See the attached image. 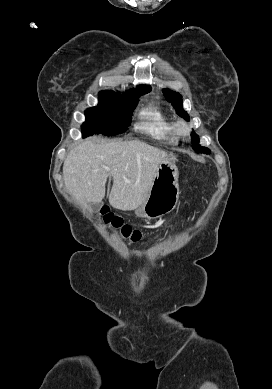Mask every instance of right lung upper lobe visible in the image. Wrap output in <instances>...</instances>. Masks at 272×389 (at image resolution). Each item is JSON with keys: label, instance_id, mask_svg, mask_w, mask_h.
<instances>
[{"label": "right lung upper lobe", "instance_id": "cb5924a9", "mask_svg": "<svg viewBox=\"0 0 272 389\" xmlns=\"http://www.w3.org/2000/svg\"><path fill=\"white\" fill-rule=\"evenodd\" d=\"M148 91H150V86L140 85V86L137 87V89H132L131 91L126 92L123 95L124 96H136V95H139V94L147 93ZM101 92L115 93L113 91H101Z\"/></svg>", "mask_w": 272, "mask_h": 389}]
</instances>
